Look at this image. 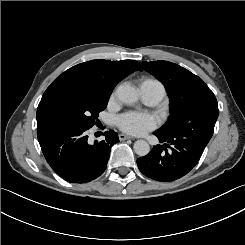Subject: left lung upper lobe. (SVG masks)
I'll return each mask as SVG.
<instances>
[{
    "label": "left lung upper lobe",
    "instance_id": "5c2ea615",
    "mask_svg": "<svg viewBox=\"0 0 245 245\" xmlns=\"http://www.w3.org/2000/svg\"><path fill=\"white\" fill-rule=\"evenodd\" d=\"M143 68L161 81L170 100V117L160 132L171 134L192 129L203 118L216 122L217 100L208 86L187 69L168 62H142Z\"/></svg>",
    "mask_w": 245,
    "mask_h": 245
}]
</instances>
